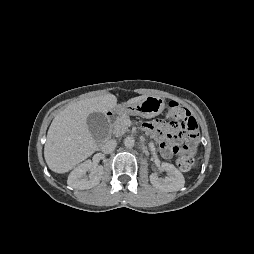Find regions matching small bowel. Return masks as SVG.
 Listing matches in <instances>:
<instances>
[{"label":"small bowel","instance_id":"small-bowel-1","mask_svg":"<svg viewBox=\"0 0 254 254\" xmlns=\"http://www.w3.org/2000/svg\"><path fill=\"white\" fill-rule=\"evenodd\" d=\"M161 127L162 124L160 122H148L144 124V129L159 143L162 156L168 159L172 156L169 141H179L176 139L177 128L166 125V129L163 131Z\"/></svg>","mask_w":254,"mask_h":254}]
</instances>
